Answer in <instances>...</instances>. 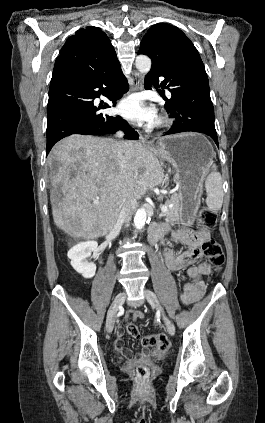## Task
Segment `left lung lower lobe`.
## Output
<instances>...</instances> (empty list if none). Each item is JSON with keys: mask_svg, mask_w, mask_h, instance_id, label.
Here are the masks:
<instances>
[{"mask_svg": "<svg viewBox=\"0 0 265 423\" xmlns=\"http://www.w3.org/2000/svg\"><path fill=\"white\" fill-rule=\"evenodd\" d=\"M159 76L165 78L161 87L167 88L172 95L171 99L163 97L167 113L176 119L165 135L199 132L209 135L218 145L209 82L197 50L190 49L163 67L151 68L145 78V87L149 89L157 84Z\"/></svg>", "mask_w": 265, "mask_h": 423, "instance_id": "0a47b994", "label": "left lung lower lobe"}]
</instances>
